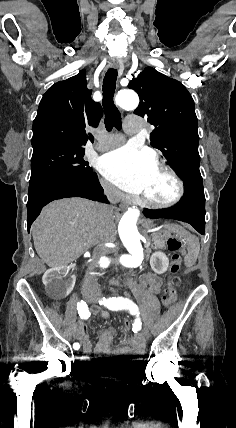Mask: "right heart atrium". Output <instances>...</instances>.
I'll use <instances>...</instances> for the list:
<instances>
[{
    "instance_id": "right-heart-atrium-1",
    "label": "right heart atrium",
    "mask_w": 236,
    "mask_h": 428,
    "mask_svg": "<svg viewBox=\"0 0 236 428\" xmlns=\"http://www.w3.org/2000/svg\"><path fill=\"white\" fill-rule=\"evenodd\" d=\"M99 186L103 196H105L107 199L120 200L123 198V194L108 181L99 179Z\"/></svg>"
}]
</instances>
